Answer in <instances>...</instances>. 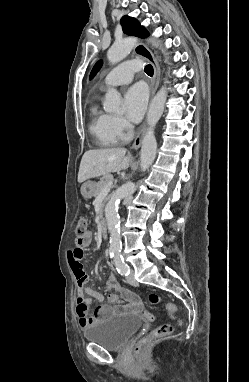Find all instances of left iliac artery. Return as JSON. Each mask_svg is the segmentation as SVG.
I'll list each match as a JSON object with an SVG mask.
<instances>
[{"instance_id":"44dca946","label":"left iliac artery","mask_w":249,"mask_h":382,"mask_svg":"<svg viewBox=\"0 0 249 382\" xmlns=\"http://www.w3.org/2000/svg\"><path fill=\"white\" fill-rule=\"evenodd\" d=\"M114 262H115L117 271L121 275H129V273H130L129 266L125 263L124 258L121 254H117L115 256Z\"/></svg>"}]
</instances>
